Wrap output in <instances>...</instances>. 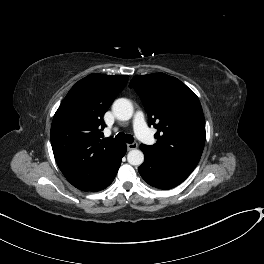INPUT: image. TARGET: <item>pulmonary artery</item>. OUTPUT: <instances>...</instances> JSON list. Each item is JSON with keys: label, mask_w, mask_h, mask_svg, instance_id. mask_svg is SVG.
<instances>
[{"label": "pulmonary artery", "mask_w": 264, "mask_h": 264, "mask_svg": "<svg viewBox=\"0 0 264 264\" xmlns=\"http://www.w3.org/2000/svg\"><path fill=\"white\" fill-rule=\"evenodd\" d=\"M133 127H134V131L137 134V136L144 143L149 144L151 141V136H150L148 129L146 128V124H145V120H144V116H143L142 112L137 111L134 114Z\"/></svg>", "instance_id": "e3ab8cb5"}]
</instances>
